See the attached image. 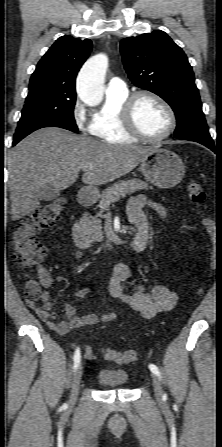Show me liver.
Returning a JSON list of instances; mask_svg holds the SVG:
<instances>
[{
    "mask_svg": "<svg viewBox=\"0 0 222 447\" xmlns=\"http://www.w3.org/2000/svg\"><path fill=\"white\" fill-rule=\"evenodd\" d=\"M154 148L106 144L56 127L39 129L8 155L11 218L38 208L45 185L64 190L81 170L83 183L107 184L132 171Z\"/></svg>",
    "mask_w": 222,
    "mask_h": 447,
    "instance_id": "liver-1",
    "label": "liver"
}]
</instances>
